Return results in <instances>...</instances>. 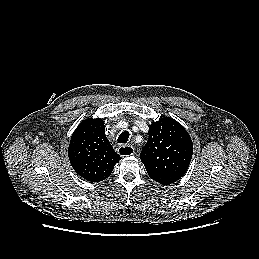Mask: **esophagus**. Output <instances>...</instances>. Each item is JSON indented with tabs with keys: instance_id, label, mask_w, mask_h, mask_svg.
I'll use <instances>...</instances> for the list:
<instances>
[{
	"instance_id": "1",
	"label": "esophagus",
	"mask_w": 259,
	"mask_h": 259,
	"mask_svg": "<svg viewBox=\"0 0 259 259\" xmlns=\"http://www.w3.org/2000/svg\"><path fill=\"white\" fill-rule=\"evenodd\" d=\"M117 150L122 157H129L135 153V148L131 145H121Z\"/></svg>"
}]
</instances>
